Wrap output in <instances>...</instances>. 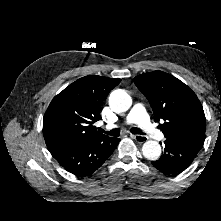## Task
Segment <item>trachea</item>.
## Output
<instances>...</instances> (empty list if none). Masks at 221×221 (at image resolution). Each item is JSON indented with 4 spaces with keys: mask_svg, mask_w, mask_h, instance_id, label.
I'll list each match as a JSON object with an SVG mask.
<instances>
[{
    "mask_svg": "<svg viewBox=\"0 0 221 221\" xmlns=\"http://www.w3.org/2000/svg\"><path fill=\"white\" fill-rule=\"evenodd\" d=\"M130 130H131V133H133V134L144 135V133L136 127H133ZM100 132L110 135L112 137H117L120 135V129H118V128H115L111 131H105L103 129H100Z\"/></svg>",
    "mask_w": 221,
    "mask_h": 221,
    "instance_id": "3493384b",
    "label": "trachea"
}]
</instances>
